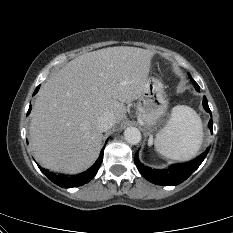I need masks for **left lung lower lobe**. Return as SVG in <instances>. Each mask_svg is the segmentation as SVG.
I'll list each match as a JSON object with an SVG mask.
<instances>
[{
  "mask_svg": "<svg viewBox=\"0 0 233 233\" xmlns=\"http://www.w3.org/2000/svg\"><path fill=\"white\" fill-rule=\"evenodd\" d=\"M191 80L194 83L196 90L199 91L198 84L193 79ZM203 107L208 113H211L209 106H208L207 99L205 97L203 98ZM208 126L211 130V133H213L212 119L209 121ZM208 151H209V148H207L206 152L198 156L195 160H192L184 164L172 165L170 166L169 169H166V170H154V169L144 166L138 160L137 154L135 156L134 161H135V164L139 172L148 181L154 184H157V185L171 186V185H178L182 183L183 181H185L200 166V164L205 159Z\"/></svg>",
  "mask_w": 233,
  "mask_h": 233,
  "instance_id": "0a47b994",
  "label": "left lung lower lobe"
}]
</instances>
